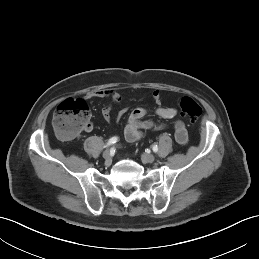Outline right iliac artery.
Segmentation results:
<instances>
[{"instance_id":"obj_1","label":"right iliac artery","mask_w":259,"mask_h":259,"mask_svg":"<svg viewBox=\"0 0 259 259\" xmlns=\"http://www.w3.org/2000/svg\"><path fill=\"white\" fill-rule=\"evenodd\" d=\"M118 141V138L117 137H112L109 139V141L106 143V146L105 147H109L110 145L116 143Z\"/></svg>"}]
</instances>
